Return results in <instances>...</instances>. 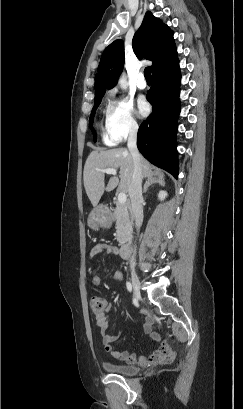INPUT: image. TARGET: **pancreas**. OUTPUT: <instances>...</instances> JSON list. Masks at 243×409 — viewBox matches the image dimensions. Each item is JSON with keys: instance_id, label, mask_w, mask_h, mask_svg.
<instances>
[{"instance_id": "obj_1", "label": "pancreas", "mask_w": 243, "mask_h": 409, "mask_svg": "<svg viewBox=\"0 0 243 409\" xmlns=\"http://www.w3.org/2000/svg\"><path fill=\"white\" fill-rule=\"evenodd\" d=\"M114 218L116 220L117 241L119 244H124L131 239L132 235V217L129 206L117 203Z\"/></svg>"}]
</instances>
